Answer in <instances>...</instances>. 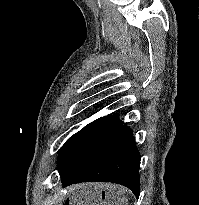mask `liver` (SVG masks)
<instances>
[{
    "label": "liver",
    "instance_id": "1",
    "mask_svg": "<svg viewBox=\"0 0 199 205\" xmlns=\"http://www.w3.org/2000/svg\"><path fill=\"white\" fill-rule=\"evenodd\" d=\"M112 189L115 191L116 187H112ZM115 198L117 199V204L123 205L124 204V199L120 198V191H116L115 193ZM87 201H89V203L91 205H97L98 200H95V198H93V195H90L86 198Z\"/></svg>",
    "mask_w": 199,
    "mask_h": 205
}]
</instances>
